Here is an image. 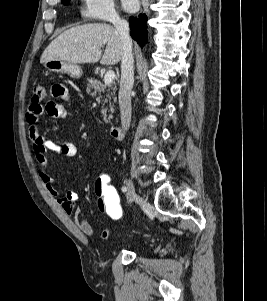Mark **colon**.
I'll use <instances>...</instances> for the list:
<instances>
[{
	"label": "colon",
	"mask_w": 267,
	"mask_h": 301,
	"mask_svg": "<svg viewBox=\"0 0 267 301\" xmlns=\"http://www.w3.org/2000/svg\"><path fill=\"white\" fill-rule=\"evenodd\" d=\"M45 94L44 86H35L32 101L40 102L45 97ZM94 194L104 214L114 221L122 219L124 210L120 195L107 175H100L95 180Z\"/></svg>",
	"instance_id": "colon-1"
}]
</instances>
